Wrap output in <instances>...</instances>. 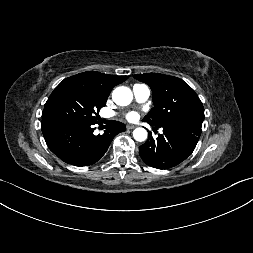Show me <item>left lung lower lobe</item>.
<instances>
[{
  "label": "left lung lower lobe",
  "instance_id": "left-lung-lower-lobe-1",
  "mask_svg": "<svg viewBox=\"0 0 253 253\" xmlns=\"http://www.w3.org/2000/svg\"><path fill=\"white\" fill-rule=\"evenodd\" d=\"M161 127L163 134H159L155 140L149 133L148 140L139 147V153L147 165L168 169L184 161L194 151L201 134L202 122Z\"/></svg>",
  "mask_w": 253,
  "mask_h": 253
}]
</instances>
